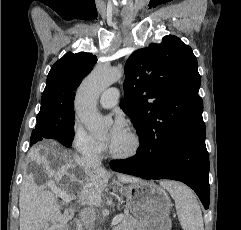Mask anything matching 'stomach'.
<instances>
[{
  "mask_svg": "<svg viewBox=\"0 0 241 230\" xmlns=\"http://www.w3.org/2000/svg\"><path fill=\"white\" fill-rule=\"evenodd\" d=\"M130 213L143 230H171V200L165 190L152 182L138 181L121 186Z\"/></svg>",
  "mask_w": 241,
  "mask_h": 230,
  "instance_id": "obj_1",
  "label": "stomach"
}]
</instances>
